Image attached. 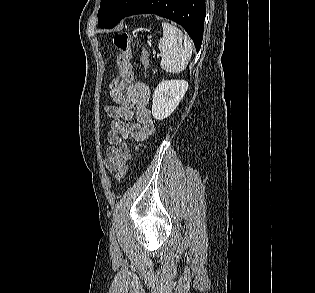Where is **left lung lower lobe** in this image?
I'll use <instances>...</instances> for the list:
<instances>
[{
	"mask_svg": "<svg viewBox=\"0 0 315 293\" xmlns=\"http://www.w3.org/2000/svg\"><path fill=\"white\" fill-rule=\"evenodd\" d=\"M156 14L180 24L192 38L197 52L202 43L205 0H140L127 14Z\"/></svg>",
	"mask_w": 315,
	"mask_h": 293,
	"instance_id": "obj_1",
	"label": "left lung lower lobe"
}]
</instances>
